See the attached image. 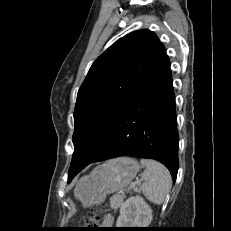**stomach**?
Here are the masks:
<instances>
[{
	"mask_svg": "<svg viewBox=\"0 0 231 231\" xmlns=\"http://www.w3.org/2000/svg\"><path fill=\"white\" fill-rule=\"evenodd\" d=\"M140 170L132 158L120 157L96 167L77 183L74 194L84 207L103 202L108 194L125 189Z\"/></svg>",
	"mask_w": 231,
	"mask_h": 231,
	"instance_id": "1",
	"label": "stomach"
}]
</instances>
